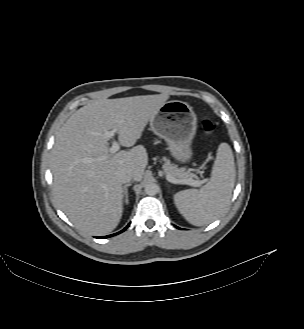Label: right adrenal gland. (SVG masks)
Segmentation results:
<instances>
[{
  "label": "right adrenal gland",
  "mask_w": 304,
  "mask_h": 329,
  "mask_svg": "<svg viewBox=\"0 0 304 329\" xmlns=\"http://www.w3.org/2000/svg\"><path fill=\"white\" fill-rule=\"evenodd\" d=\"M131 186L130 183L124 185V197H125V203L128 204V187Z\"/></svg>",
  "instance_id": "1"
}]
</instances>
